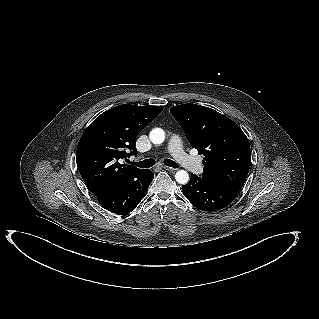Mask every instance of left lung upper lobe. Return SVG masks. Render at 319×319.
<instances>
[{"label":"left lung upper lobe","instance_id":"5c2ea615","mask_svg":"<svg viewBox=\"0 0 319 319\" xmlns=\"http://www.w3.org/2000/svg\"><path fill=\"white\" fill-rule=\"evenodd\" d=\"M191 145L203 154L202 178L239 193L249 171V141L232 120L219 112L196 104L170 109Z\"/></svg>","mask_w":319,"mask_h":319}]
</instances>
